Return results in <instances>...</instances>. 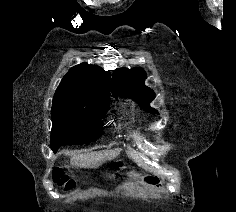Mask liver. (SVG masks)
Segmentation results:
<instances>
[{"instance_id": "1", "label": "liver", "mask_w": 236, "mask_h": 212, "mask_svg": "<svg viewBox=\"0 0 236 212\" xmlns=\"http://www.w3.org/2000/svg\"><path fill=\"white\" fill-rule=\"evenodd\" d=\"M118 152V149H115L103 152L77 154L71 157L70 164L77 168H96L107 161L113 160L118 155Z\"/></svg>"}]
</instances>
